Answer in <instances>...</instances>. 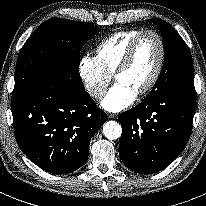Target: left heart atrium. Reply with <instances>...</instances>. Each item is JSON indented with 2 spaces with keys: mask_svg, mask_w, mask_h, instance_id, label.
Here are the masks:
<instances>
[{
  "mask_svg": "<svg viewBox=\"0 0 206 206\" xmlns=\"http://www.w3.org/2000/svg\"><path fill=\"white\" fill-rule=\"evenodd\" d=\"M136 93L121 83H116L101 101V106L109 112H120L129 107Z\"/></svg>",
  "mask_w": 206,
  "mask_h": 206,
  "instance_id": "left-heart-atrium-1",
  "label": "left heart atrium"
}]
</instances>
